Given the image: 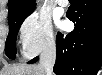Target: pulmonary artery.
Instances as JSON below:
<instances>
[{
	"label": "pulmonary artery",
	"instance_id": "pulmonary-artery-1",
	"mask_svg": "<svg viewBox=\"0 0 102 75\" xmlns=\"http://www.w3.org/2000/svg\"><path fill=\"white\" fill-rule=\"evenodd\" d=\"M60 4L65 5L66 4V0H59L58 1Z\"/></svg>",
	"mask_w": 102,
	"mask_h": 75
}]
</instances>
